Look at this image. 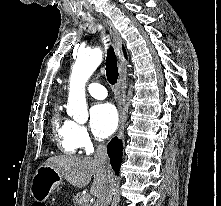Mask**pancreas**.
I'll return each instance as SVG.
<instances>
[{"label": "pancreas", "mask_w": 221, "mask_h": 206, "mask_svg": "<svg viewBox=\"0 0 221 206\" xmlns=\"http://www.w3.org/2000/svg\"><path fill=\"white\" fill-rule=\"evenodd\" d=\"M88 201L87 195H83L82 193H77L72 197V202L75 206H90Z\"/></svg>", "instance_id": "obj_1"}]
</instances>
